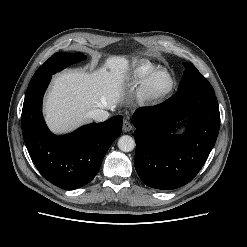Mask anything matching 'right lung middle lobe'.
<instances>
[{
	"instance_id": "1",
	"label": "right lung middle lobe",
	"mask_w": 247,
	"mask_h": 247,
	"mask_svg": "<svg viewBox=\"0 0 247 247\" xmlns=\"http://www.w3.org/2000/svg\"><path fill=\"white\" fill-rule=\"evenodd\" d=\"M84 59H86V56L82 53L57 52L38 68L30 83L59 72L67 66L80 62Z\"/></svg>"
}]
</instances>
